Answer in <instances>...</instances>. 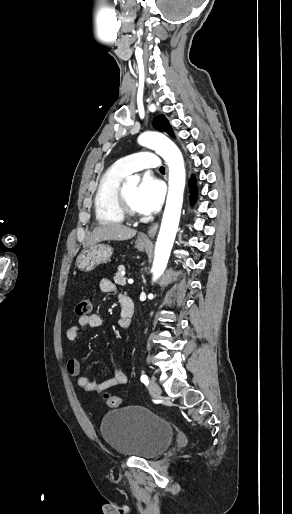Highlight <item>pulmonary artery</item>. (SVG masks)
I'll list each match as a JSON object with an SVG mask.
<instances>
[{"mask_svg":"<svg viewBox=\"0 0 292 514\" xmlns=\"http://www.w3.org/2000/svg\"><path fill=\"white\" fill-rule=\"evenodd\" d=\"M160 169L159 159L152 151H132L129 156H120L113 163V170L123 176L133 172H157Z\"/></svg>","mask_w":292,"mask_h":514,"instance_id":"obj_1","label":"pulmonary artery"}]
</instances>
